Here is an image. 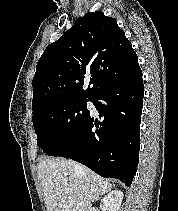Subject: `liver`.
<instances>
[{
  "instance_id": "liver-1",
  "label": "liver",
  "mask_w": 178,
  "mask_h": 211,
  "mask_svg": "<svg viewBox=\"0 0 178 211\" xmlns=\"http://www.w3.org/2000/svg\"><path fill=\"white\" fill-rule=\"evenodd\" d=\"M47 211H91L92 202L112 190L108 180L65 158H47L38 165Z\"/></svg>"
}]
</instances>
